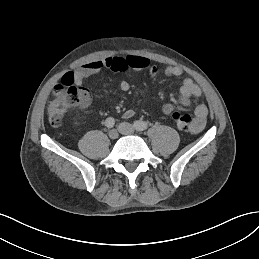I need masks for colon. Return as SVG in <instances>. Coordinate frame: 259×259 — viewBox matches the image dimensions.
<instances>
[{"mask_svg": "<svg viewBox=\"0 0 259 259\" xmlns=\"http://www.w3.org/2000/svg\"><path fill=\"white\" fill-rule=\"evenodd\" d=\"M90 102L89 91L74 82L72 73H67L61 84L57 85L48 106V121L51 126L61 125L64 116L73 108L85 107ZM172 119L180 130H186L191 125V117L180 111L172 113Z\"/></svg>", "mask_w": 259, "mask_h": 259, "instance_id": "obj_1", "label": "colon"}]
</instances>
